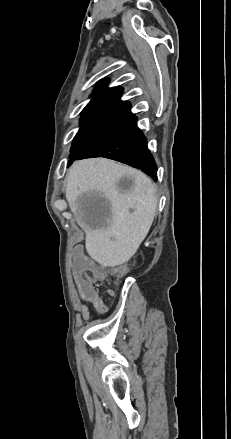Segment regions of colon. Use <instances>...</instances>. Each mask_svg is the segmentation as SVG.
I'll return each instance as SVG.
<instances>
[{
    "label": "colon",
    "mask_w": 231,
    "mask_h": 439,
    "mask_svg": "<svg viewBox=\"0 0 231 439\" xmlns=\"http://www.w3.org/2000/svg\"><path fill=\"white\" fill-rule=\"evenodd\" d=\"M74 275L76 280L74 282L75 287L79 288L78 293L81 295L82 300H86V304L98 309L103 307V299L97 297V292L94 290V284L97 280L103 277V273L92 264L90 259L86 258V250L84 246L78 245L72 251ZM125 272V267H118L112 269L110 274L112 276H120Z\"/></svg>",
    "instance_id": "5ec220e1"
}]
</instances>
